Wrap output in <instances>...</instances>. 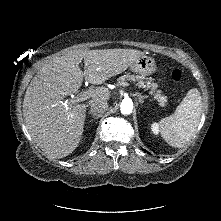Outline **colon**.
I'll return each instance as SVG.
<instances>
[{"mask_svg": "<svg viewBox=\"0 0 221 221\" xmlns=\"http://www.w3.org/2000/svg\"><path fill=\"white\" fill-rule=\"evenodd\" d=\"M171 78L175 82H179L182 79V73L178 69H173L171 71Z\"/></svg>", "mask_w": 221, "mask_h": 221, "instance_id": "obj_1", "label": "colon"}]
</instances>
